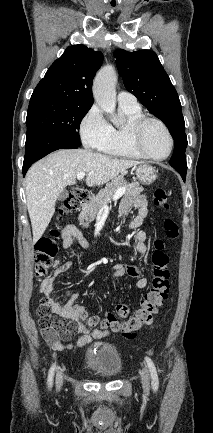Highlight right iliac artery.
Masks as SVG:
<instances>
[{
  "instance_id": "82829eb1",
  "label": "right iliac artery",
  "mask_w": 213,
  "mask_h": 433,
  "mask_svg": "<svg viewBox=\"0 0 213 433\" xmlns=\"http://www.w3.org/2000/svg\"><path fill=\"white\" fill-rule=\"evenodd\" d=\"M55 365H52L48 374V386H52L53 376H54Z\"/></svg>"
}]
</instances>
